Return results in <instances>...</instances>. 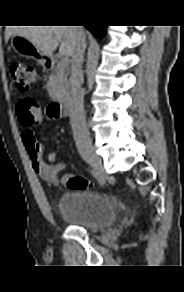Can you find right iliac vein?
<instances>
[{
    "mask_svg": "<svg viewBox=\"0 0 184 292\" xmlns=\"http://www.w3.org/2000/svg\"><path fill=\"white\" fill-rule=\"evenodd\" d=\"M83 159L93 166L101 175L104 176V169L100 157L93 153H85L82 155Z\"/></svg>",
    "mask_w": 184,
    "mask_h": 292,
    "instance_id": "right-iliac-vein-1",
    "label": "right iliac vein"
}]
</instances>
